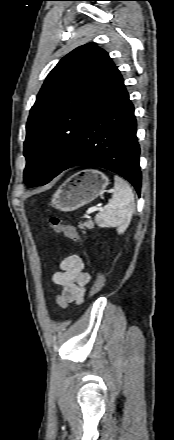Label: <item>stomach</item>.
Masks as SVG:
<instances>
[{
    "mask_svg": "<svg viewBox=\"0 0 174 440\" xmlns=\"http://www.w3.org/2000/svg\"><path fill=\"white\" fill-rule=\"evenodd\" d=\"M109 183L107 176L93 169L79 171L69 177L54 193V208L71 212L95 200Z\"/></svg>",
    "mask_w": 174,
    "mask_h": 440,
    "instance_id": "1",
    "label": "stomach"
}]
</instances>
